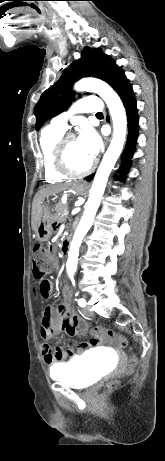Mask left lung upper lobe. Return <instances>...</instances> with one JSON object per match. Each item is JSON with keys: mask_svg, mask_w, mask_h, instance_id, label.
Listing matches in <instances>:
<instances>
[{"mask_svg": "<svg viewBox=\"0 0 165 461\" xmlns=\"http://www.w3.org/2000/svg\"><path fill=\"white\" fill-rule=\"evenodd\" d=\"M122 72L109 56L98 49L85 47L81 58L71 64L59 80L43 92L35 106L36 129L49 118L65 111L74 98L72 85L83 77L93 76L112 86L116 77Z\"/></svg>", "mask_w": 165, "mask_h": 461, "instance_id": "1", "label": "left lung upper lobe"}]
</instances>
